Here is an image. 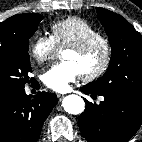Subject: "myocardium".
<instances>
[{"label": "myocardium", "instance_id": "myocardium-1", "mask_svg": "<svg viewBox=\"0 0 142 142\" xmlns=\"http://www.w3.org/2000/svg\"><path fill=\"white\" fill-rule=\"evenodd\" d=\"M96 49H101L103 51V60L101 65L96 70L90 73L82 74V79L87 82L99 79L108 70L112 60V48L110 44L106 40H91L67 47V50L75 51L81 55L88 54Z\"/></svg>", "mask_w": 142, "mask_h": 142}]
</instances>
